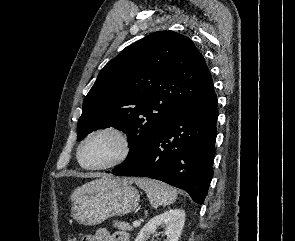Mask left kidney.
Instances as JSON below:
<instances>
[{"instance_id":"5707ae66","label":"left kidney","mask_w":295,"mask_h":241,"mask_svg":"<svg viewBox=\"0 0 295 241\" xmlns=\"http://www.w3.org/2000/svg\"><path fill=\"white\" fill-rule=\"evenodd\" d=\"M185 222V211L182 209H171L153 217L140 230L134 241H146L151 234H156L158 227H164V241H178Z\"/></svg>"}]
</instances>
